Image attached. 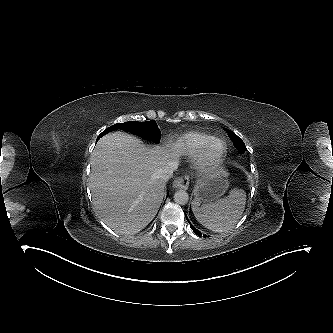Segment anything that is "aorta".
<instances>
[{"label":"aorta","instance_id":"obj_1","mask_svg":"<svg viewBox=\"0 0 333 333\" xmlns=\"http://www.w3.org/2000/svg\"><path fill=\"white\" fill-rule=\"evenodd\" d=\"M189 195L185 190H178L174 194V201L177 204L185 205L188 203Z\"/></svg>","mask_w":333,"mask_h":333}]
</instances>
